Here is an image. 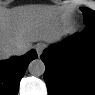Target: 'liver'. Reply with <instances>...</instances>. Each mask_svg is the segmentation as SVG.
Segmentation results:
<instances>
[{"label": "liver", "mask_w": 95, "mask_h": 95, "mask_svg": "<svg viewBox=\"0 0 95 95\" xmlns=\"http://www.w3.org/2000/svg\"><path fill=\"white\" fill-rule=\"evenodd\" d=\"M69 13L52 5H24L0 11V59L13 54L16 44L32 47L33 42L51 43L71 33Z\"/></svg>", "instance_id": "liver-1"}]
</instances>
